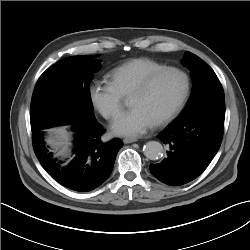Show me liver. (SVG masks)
Segmentation results:
<instances>
[{
  "mask_svg": "<svg viewBox=\"0 0 250 250\" xmlns=\"http://www.w3.org/2000/svg\"><path fill=\"white\" fill-rule=\"evenodd\" d=\"M50 131L56 134L54 137L48 139V143L55 148L63 147L59 154H64L67 150L68 145V133L66 132L64 127L54 128Z\"/></svg>",
  "mask_w": 250,
  "mask_h": 250,
  "instance_id": "6515ba94",
  "label": "liver"
}]
</instances>
